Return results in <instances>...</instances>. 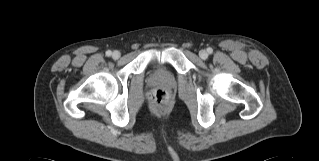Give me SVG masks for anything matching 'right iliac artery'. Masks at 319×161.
<instances>
[{"label":"right iliac artery","instance_id":"1","mask_svg":"<svg viewBox=\"0 0 319 161\" xmlns=\"http://www.w3.org/2000/svg\"><path fill=\"white\" fill-rule=\"evenodd\" d=\"M112 52L110 50L106 51V56H111Z\"/></svg>","mask_w":319,"mask_h":161}]
</instances>
